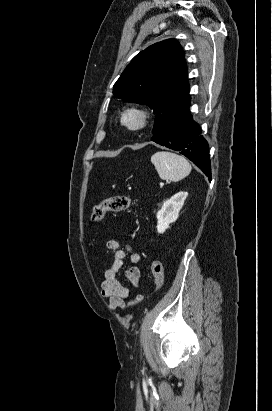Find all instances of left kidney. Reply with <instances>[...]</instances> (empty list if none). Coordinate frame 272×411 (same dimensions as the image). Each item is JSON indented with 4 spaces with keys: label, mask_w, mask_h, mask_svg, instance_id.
<instances>
[{
    "label": "left kidney",
    "mask_w": 272,
    "mask_h": 411,
    "mask_svg": "<svg viewBox=\"0 0 272 411\" xmlns=\"http://www.w3.org/2000/svg\"><path fill=\"white\" fill-rule=\"evenodd\" d=\"M187 195V192H178L163 203L157 212V231L159 233H164L169 225L177 220Z\"/></svg>",
    "instance_id": "obj_1"
}]
</instances>
